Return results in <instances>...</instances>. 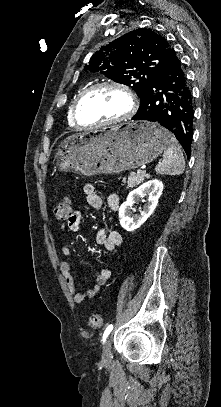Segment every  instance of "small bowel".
I'll use <instances>...</instances> for the list:
<instances>
[{
  "label": "small bowel",
  "mask_w": 221,
  "mask_h": 407,
  "mask_svg": "<svg viewBox=\"0 0 221 407\" xmlns=\"http://www.w3.org/2000/svg\"><path fill=\"white\" fill-rule=\"evenodd\" d=\"M83 192L85 198L90 207L94 209H101L103 206V199L99 193L98 188L91 183H86L83 186ZM107 204L110 209L112 217L117 215L120 198L116 193H111L107 196ZM81 214L79 211H75L71 218L65 223H60V230L65 232L67 229L71 232L78 233L80 231ZM96 242L106 250H112L119 246L122 242L121 234L110 228H104L97 233ZM70 251L68 247L62 249V259L59 263V270L64 278V282L68 287L75 303H82L85 298H94L101 290V287L107 283L111 277V269L108 266H104L100 269V272L96 278V283L91 289L82 293L78 291L74 277L71 274V266L68 261Z\"/></svg>",
  "instance_id": "small-bowel-1"
}]
</instances>
